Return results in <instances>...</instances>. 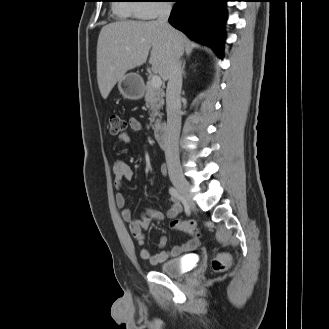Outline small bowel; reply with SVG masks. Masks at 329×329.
<instances>
[{"instance_id": "obj_1", "label": "small bowel", "mask_w": 329, "mask_h": 329, "mask_svg": "<svg viewBox=\"0 0 329 329\" xmlns=\"http://www.w3.org/2000/svg\"><path fill=\"white\" fill-rule=\"evenodd\" d=\"M129 126L133 130H141L142 125L136 119L129 120ZM118 140L123 144H129L131 142V135L128 132H123L119 134ZM160 172L163 175L167 173V166L161 165ZM113 181L114 187L117 190L116 194V204L121 209V216L125 222L128 223L130 234L135 239L137 245L140 248L139 254L143 260L150 262L151 264H158L162 261L178 256L181 253L192 251L197 247L196 241H190L183 245L173 246L171 249H165V245L167 243V238L162 237L158 244V251L156 253H151L145 247V237L144 231L147 230L152 222L161 221L164 219V215L153 209L146 208L142 214L140 219H133L131 210L126 206L127 198L125 194L122 192L124 182L132 179L134 172L132 168L125 163L123 160H117L113 167ZM171 207L168 209L166 216L170 219L176 218L182 210L181 203L177 198L171 197L170 199Z\"/></svg>"}]
</instances>
